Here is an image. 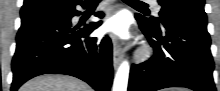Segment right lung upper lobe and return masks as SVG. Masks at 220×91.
Returning a JSON list of instances; mask_svg holds the SVG:
<instances>
[{"label": "right lung upper lobe", "instance_id": "cb5924a9", "mask_svg": "<svg viewBox=\"0 0 220 91\" xmlns=\"http://www.w3.org/2000/svg\"><path fill=\"white\" fill-rule=\"evenodd\" d=\"M67 1V2H60ZM69 0H25L21 9V16L41 10H49L66 5ZM87 1V0H85Z\"/></svg>", "mask_w": 220, "mask_h": 91}]
</instances>
